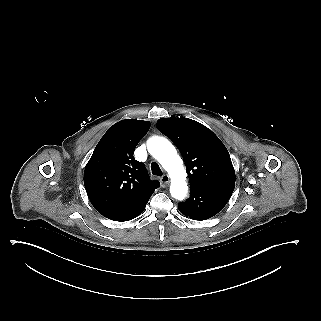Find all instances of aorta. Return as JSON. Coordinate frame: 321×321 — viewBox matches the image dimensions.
I'll list each match as a JSON object with an SVG mask.
<instances>
[{"instance_id":"aorta-1","label":"aorta","mask_w":321,"mask_h":321,"mask_svg":"<svg viewBox=\"0 0 321 321\" xmlns=\"http://www.w3.org/2000/svg\"><path fill=\"white\" fill-rule=\"evenodd\" d=\"M147 149L171 177V196L183 200L188 192L187 174L175 147L166 138L154 136L147 141Z\"/></svg>"}]
</instances>
